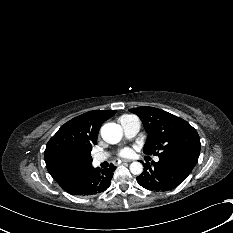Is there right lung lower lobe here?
I'll return each mask as SVG.
<instances>
[{"mask_svg":"<svg viewBox=\"0 0 233 233\" xmlns=\"http://www.w3.org/2000/svg\"><path fill=\"white\" fill-rule=\"evenodd\" d=\"M115 168L116 167L112 164L109 168L102 170L90 166L80 173L76 177L75 181L64 190L71 195L79 196H88L101 193L110 186Z\"/></svg>","mask_w":233,"mask_h":233,"instance_id":"obj_1","label":"right lung lower lobe"}]
</instances>
